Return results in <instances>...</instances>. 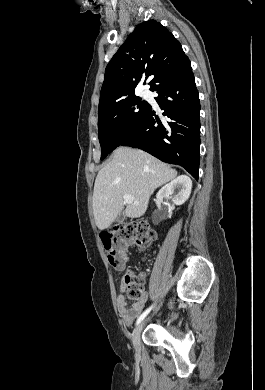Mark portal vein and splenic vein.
Here are the masks:
<instances>
[{
  "instance_id": "obj_1",
  "label": "portal vein and splenic vein",
  "mask_w": 265,
  "mask_h": 390,
  "mask_svg": "<svg viewBox=\"0 0 265 390\" xmlns=\"http://www.w3.org/2000/svg\"><path fill=\"white\" fill-rule=\"evenodd\" d=\"M123 200L127 204H134V205H138L139 204L138 202L134 201V199H133V197L131 195H124L123 196Z\"/></svg>"
}]
</instances>
